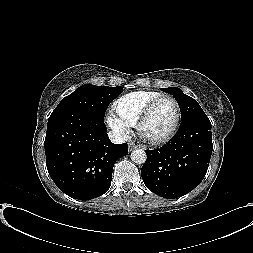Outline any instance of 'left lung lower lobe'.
I'll use <instances>...</instances> for the list:
<instances>
[{
    "mask_svg": "<svg viewBox=\"0 0 253 253\" xmlns=\"http://www.w3.org/2000/svg\"><path fill=\"white\" fill-rule=\"evenodd\" d=\"M211 123L206 115L188 118L164 146L146 150L141 168L145 186L173 199L196 188L203 180L212 154Z\"/></svg>",
    "mask_w": 253,
    "mask_h": 253,
    "instance_id": "0a47b994",
    "label": "left lung lower lobe"
}]
</instances>
